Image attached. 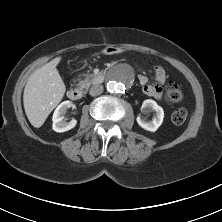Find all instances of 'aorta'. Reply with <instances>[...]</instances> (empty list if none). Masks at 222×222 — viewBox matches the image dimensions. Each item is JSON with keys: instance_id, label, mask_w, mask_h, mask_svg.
Instances as JSON below:
<instances>
[{"instance_id": "obj_1", "label": "aorta", "mask_w": 222, "mask_h": 222, "mask_svg": "<svg viewBox=\"0 0 222 222\" xmlns=\"http://www.w3.org/2000/svg\"><path fill=\"white\" fill-rule=\"evenodd\" d=\"M132 82L131 72L126 67H121L109 76L106 87L112 94H121L131 86Z\"/></svg>"}]
</instances>
